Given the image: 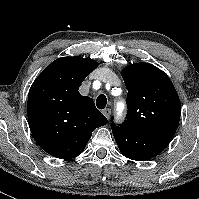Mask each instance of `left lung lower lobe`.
<instances>
[{
	"label": "left lung lower lobe",
	"mask_w": 199,
	"mask_h": 199,
	"mask_svg": "<svg viewBox=\"0 0 199 199\" xmlns=\"http://www.w3.org/2000/svg\"><path fill=\"white\" fill-rule=\"evenodd\" d=\"M121 153L132 160L143 161L158 155L168 143L116 126L112 128Z\"/></svg>",
	"instance_id": "0a47b994"
}]
</instances>
